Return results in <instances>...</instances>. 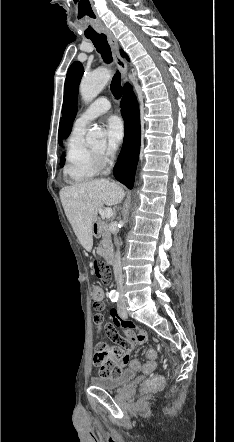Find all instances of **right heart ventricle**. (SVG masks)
Masks as SVG:
<instances>
[{
	"mask_svg": "<svg viewBox=\"0 0 234 442\" xmlns=\"http://www.w3.org/2000/svg\"><path fill=\"white\" fill-rule=\"evenodd\" d=\"M85 129L74 126L67 142L64 175L71 183H83L94 178L99 169L91 149L84 139Z\"/></svg>",
	"mask_w": 234,
	"mask_h": 442,
	"instance_id": "obj_1",
	"label": "right heart ventricle"
}]
</instances>
